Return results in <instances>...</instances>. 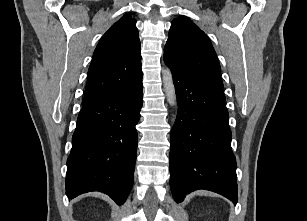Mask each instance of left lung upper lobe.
<instances>
[{"label": "left lung upper lobe", "mask_w": 307, "mask_h": 221, "mask_svg": "<svg viewBox=\"0 0 307 221\" xmlns=\"http://www.w3.org/2000/svg\"><path fill=\"white\" fill-rule=\"evenodd\" d=\"M164 58L197 84L225 98L221 67L211 41L188 17L180 16L172 21Z\"/></svg>", "instance_id": "5c2ea615"}]
</instances>
